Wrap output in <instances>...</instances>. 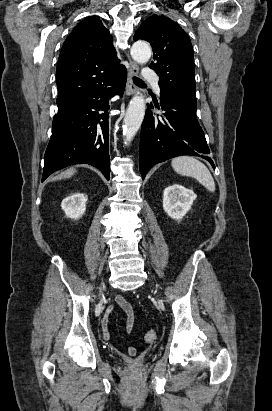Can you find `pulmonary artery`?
<instances>
[{
  "label": "pulmonary artery",
  "instance_id": "pulmonary-artery-1",
  "mask_svg": "<svg viewBox=\"0 0 272 411\" xmlns=\"http://www.w3.org/2000/svg\"><path fill=\"white\" fill-rule=\"evenodd\" d=\"M142 78L144 80L153 81L155 83L156 91H159V87L157 85L158 76L156 71L150 68H145L142 72Z\"/></svg>",
  "mask_w": 272,
  "mask_h": 411
}]
</instances>
